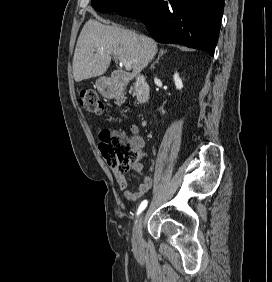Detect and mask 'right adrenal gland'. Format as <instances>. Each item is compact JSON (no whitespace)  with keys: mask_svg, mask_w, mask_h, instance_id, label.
Wrapping results in <instances>:
<instances>
[{"mask_svg":"<svg viewBox=\"0 0 272 282\" xmlns=\"http://www.w3.org/2000/svg\"><path fill=\"white\" fill-rule=\"evenodd\" d=\"M166 52H167V50H164V49L159 50V55H158L156 61L151 65V68H154V65L159 62L160 57H162V55Z\"/></svg>","mask_w":272,"mask_h":282,"instance_id":"1","label":"right adrenal gland"}]
</instances>
